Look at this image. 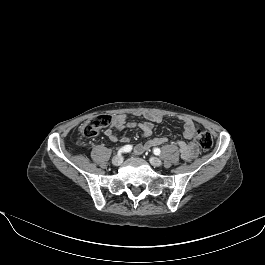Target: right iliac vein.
<instances>
[{
    "instance_id": "63e3f726",
    "label": "right iliac vein",
    "mask_w": 265,
    "mask_h": 265,
    "mask_svg": "<svg viewBox=\"0 0 265 265\" xmlns=\"http://www.w3.org/2000/svg\"><path fill=\"white\" fill-rule=\"evenodd\" d=\"M122 162H123V157H122V156H119V155L113 157V159H112V163H113L114 165H116V166L121 165Z\"/></svg>"
}]
</instances>
